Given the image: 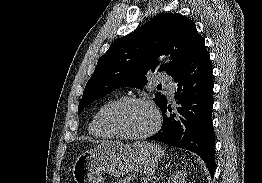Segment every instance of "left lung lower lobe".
Returning <instances> with one entry per match:
<instances>
[{"mask_svg":"<svg viewBox=\"0 0 262 183\" xmlns=\"http://www.w3.org/2000/svg\"><path fill=\"white\" fill-rule=\"evenodd\" d=\"M177 83L176 108L172 114L167 101L160 106L161 129L149 137L201 157L211 176L215 171V138L212 125L213 78L209 53L204 47L172 77Z\"/></svg>","mask_w":262,"mask_h":183,"instance_id":"left-lung-lower-lobe-1","label":"left lung lower lobe"}]
</instances>
